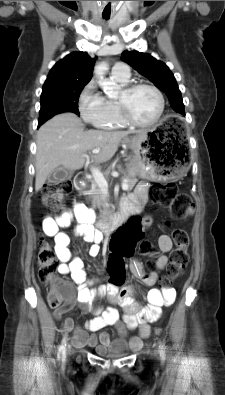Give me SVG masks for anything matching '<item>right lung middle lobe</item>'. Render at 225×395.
<instances>
[{"instance_id": "dd1d6c3e", "label": "right lung middle lobe", "mask_w": 225, "mask_h": 395, "mask_svg": "<svg viewBox=\"0 0 225 395\" xmlns=\"http://www.w3.org/2000/svg\"><path fill=\"white\" fill-rule=\"evenodd\" d=\"M85 85L43 86L38 124L42 125L45 121L61 112H73L79 115L78 99Z\"/></svg>"}]
</instances>
